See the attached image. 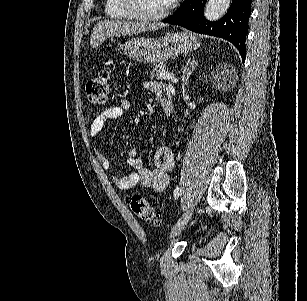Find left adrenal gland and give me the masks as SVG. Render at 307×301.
Here are the masks:
<instances>
[{"label":"left adrenal gland","instance_id":"a2214340","mask_svg":"<svg viewBox=\"0 0 307 301\" xmlns=\"http://www.w3.org/2000/svg\"><path fill=\"white\" fill-rule=\"evenodd\" d=\"M197 66V60H194V58H188L185 66H183V70H182V84H188L189 82V76L192 72V70H194V68H196Z\"/></svg>","mask_w":307,"mask_h":301}]
</instances>
